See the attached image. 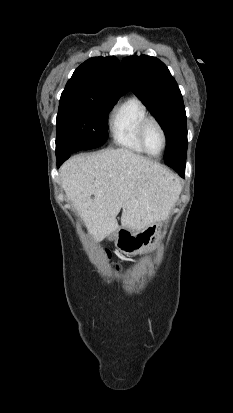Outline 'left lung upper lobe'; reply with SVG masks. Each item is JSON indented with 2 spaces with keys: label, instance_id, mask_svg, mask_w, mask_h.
<instances>
[{
  "label": "left lung upper lobe",
  "instance_id": "5c2ea615",
  "mask_svg": "<svg viewBox=\"0 0 233 413\" xmlns=\"http://www.w3.org/2000/svg\"><path fill=\"white\" fill-rule=\"evenodd\" d=\"M123 66L131 90L157 118L167 138L165 163L184 165L187 156V118L183 98L166 65L151 56H129Z\"/></svg>",
  "mask_w": 233,
  "mask_h": 413
}]
</instances>
